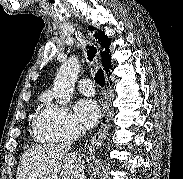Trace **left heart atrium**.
<instances>
[{
	"mask_svg": "<svg viewBox=\"0 0 183 179\" xmlns=\"http://www.w3.org/2000/svg\"><path fill=\"white\" fill-rule=\"evenodd\" d=\"M75 112L79 122L85 128L94 127L101 117V108L99 104L92 99L79 100L76 103Z\"/></svg>",
	"mask_w": 183,
	"mask_h": 179,
	"instance_id": "left-heart-atrium-1",
	"label": "left heart atrium"
}]
</instances>
